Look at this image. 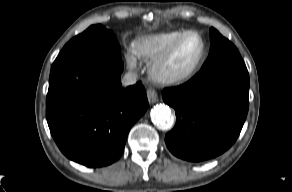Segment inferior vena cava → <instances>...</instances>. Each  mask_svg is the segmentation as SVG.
<instances>
[{
  "label": "inferior vena cava",
  "instance_id": "inferior-vena-cava-1",
  "mask_svg": "<svg viewBox=\"0 0 292 192\" xmlns=\"http://www.w3.org/2000/svg\"><path fill=\"white\" fill-rule=\"evenodd\" d=\"M121 82L123 86L134 85L137 82V74L135 72H127Z\"/></svg>",
  "mask_w": 292,
  "mask_h": 192
}]
</instances>
